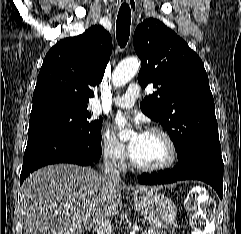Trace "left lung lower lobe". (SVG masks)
<instances>
[{
	"label": "left lung lower lobe",
	"mask_w": 241,
	"mask_h": 234,
	"mask_svg": "<svg viewBox=\"0 0 241 234\" xmlns=\"http://www.w3.org/2000/svg\"><path fill=\"white\" fill-rule=\"evenodd\" d=\"M223 170L221 151L196 149L184 155L173 169L144 173L138 180L143 184L156 185L197 179L210 184L222 199Z\"/></svg>",
	"instance_id": "obj_1"
}]
</instances>
